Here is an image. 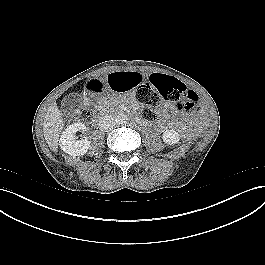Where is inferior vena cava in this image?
Here are the masks:
<instances>
[{
  "label": "inferior vena cava",
  "instance_id": "inferior-vena-cava-1",
  "mask_svg": "<svg viewBox=\"0 0 265 265\" xmlns=\"http://www.w3.org/2000/svg\"><path fill=\"white\" fill-rule=\"evenodd\" d=\"M98 126L101 131H110L114 128L115 126V121L112 116L106 114L102 117H100L98 121Z\"/></svg>",
  "mask_w": 265,
  "mask_h": 265
}]
</instances>
